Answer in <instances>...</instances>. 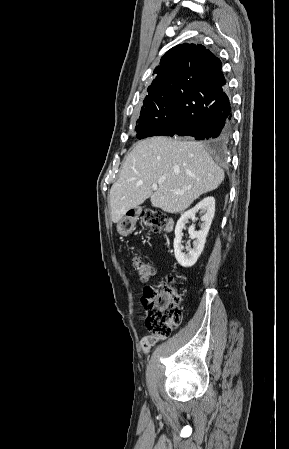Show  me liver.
<instances>
[{
    "label": "liver",
    "mask_w": 289,
    "mask_h": 449,
    "mask_svg": "<svg viewBox=\"0 0 289 449\" xmlns=\"http://www.w3.org/2000/svg\"><path fill=\"white\" fill-rule=\"evenodd\" d=\"M223 180L224 171L202 143L164 136L145 139L127 155L120 177L111 187L112 221L118 223L128 210L148 198L153 207L165 212L184 211ZM153 184L158 185L155 191Z\"/></svg>",
    "instance_id": "liver-1"
}]
</instances>
